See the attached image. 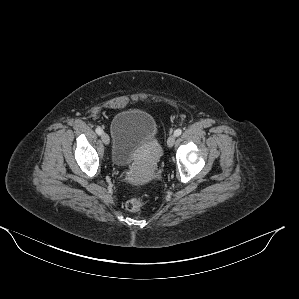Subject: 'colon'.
Segmentation results:
<instances>
[{
	"instance_id": "colon-1",
	"label": "colon",
	"mask_w": 299,
	"mask_h": 299,
	"mask_svg": "<svg viewBox=\"0 0 299 299\" xmlns=\"http://www.w3.org/2000/svg\"><path fill=\"white\" fill-rule=\"evenodd\" d=\"M144 205V199L141 197L131 198L126 202L127 210L131 212L139 211Z\"/></svg>"
}]
</instances>
